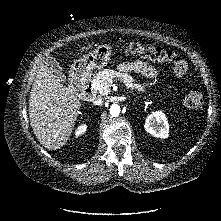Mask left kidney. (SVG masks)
<instances>
[{"instance_id": "obj_1", "label": "left kidney", "mask_w": 221, "mask_h": 221, "mask_svg": "<svg viewBox=\"0 0 221 221\" xmlns=\"http://www.w3.org/2000/svg\"><path fill=\"white\" fill-rule=\"evenodd\" d=\"M145 130L157 138H167L169 133V124L165 114L162 111L154 112L149 115L145 121Z\"/></svg>"}]
</instances>
